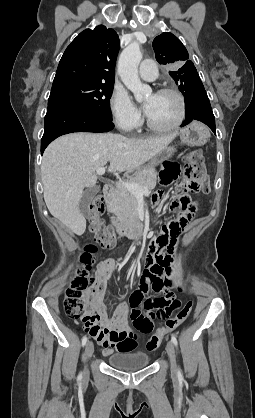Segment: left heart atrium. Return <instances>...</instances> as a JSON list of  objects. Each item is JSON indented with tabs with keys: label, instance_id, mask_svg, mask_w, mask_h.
<instances>
[{
	"label": "left heart atrium",
	"instance_id": "obj_1",
	"mask_svg": "<svg viewBox=\"0 0 255 418\" xmlns=\"http://www.w3.org/2000/svg\"><path fill=\"white\" fill-rule=\"evenodd\" d=\"M150 106H151V103H150V102L145 103V105H144V110H145L146 114H147V112L149 111Z\"/></svg>",
	"mask_w": 255,
	"mask_h": 418
}]
</instances>
